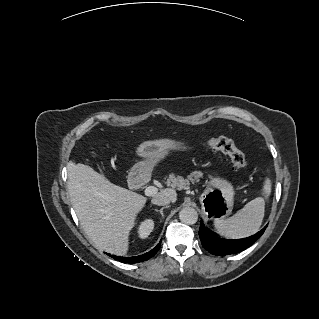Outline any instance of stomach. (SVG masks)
<instances>
[{
  "label": "stomach",
  "mask_w": 319,
  "mask_h": 319,
  "mask_svg": "<svg viewBox=\"0 0 319 319\" xmlns=\"http://www.w3.org/2000/svg\"><path fill=\"white\" fill-rule=\"evenodd\" d=\"M165 146L163 144H148L145 145V147L142 149V155L146 158H150L153 160H156L160 158L164 152ZM152 163L147 162V163H142L137 166V169L135 171V175L138 177V171H142V177L146 178L151 169ZM194 178L197 179L198 176H195ZM222 189L227 188L228 186L224 183H221L220 185ZM212 200L211 204H208V201L205 200V207L204 210L209 213L210 216H213L216 214V217H223L226 214L230 212L229 206L227 203L224 201V198L222 197L221 191L215 189L212 194H211Z\"/></svg>",
  "instance_id": "stomach-1"
}]
</instances>
